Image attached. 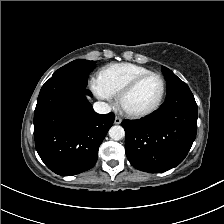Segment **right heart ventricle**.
<instances>
[{"label":"right heart ventricle","instance_id":"right-heart-ventricle-1","mask_svg":"<svg viewBox=\"0 0 224 224\" xmlns=\"http://www.w3.org/2000/svg\"><path fill=\"white\" fill-rule=\"evenodd\" d=\"M149 72L152 71L136 64L116 63L103 68L98 78L106 91L111 95H117L131 80Z\"/></svg>","mask_w":224,"mask_h":224}]
</instances>
